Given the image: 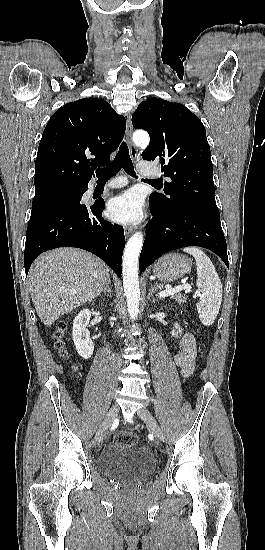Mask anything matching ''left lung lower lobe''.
Masks as SVG:
<instances>
[{"label":"left lung lower lobe","instance_id":"1","mask_svg":"<svg viewBox=\"0 0 265 550\" xmlns=\"http://www.w3.org/2000/svg\"><path fill=\"white\" fill-rule=\"evenodd\" d=\"M151 212L153 218L147 226L139 258L140 272L164 253L187 246L213 251L228 267L227 245L219 216L191 207L160 212L151 206Z\"/></svg>","mask_w":265,"mask_h":550}]
</instances>
